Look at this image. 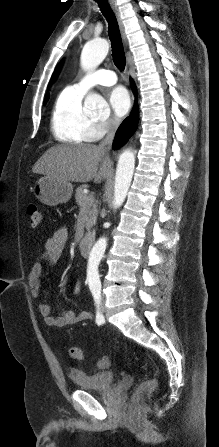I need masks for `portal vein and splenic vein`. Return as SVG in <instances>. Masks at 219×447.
<instances>
[{"mask_svg": "<svg viewBox=\"0 0 219 447\" xmlns=\"http://www.w3.org/2000/svg\"><path fill=\"white\" fill-rule=\"evenodd\" d=\"M89 200H91V198H87V199H86V201H89Z\"/></svg>", "mask_w": 219, "mask_h": 447, "instance_id": "obj_1", "label": "portal vein and splenic vein"}]
</instances>
